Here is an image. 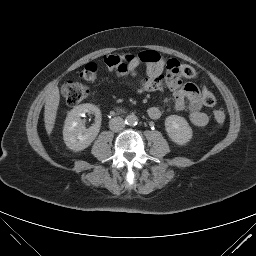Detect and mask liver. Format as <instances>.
<instances>
[{
	"label": "liver",
	"instance_id": "1",
	"mask_svg": "<svg viewBox=\"0 0 256 256\" xmlns=\"http://www.w3.org/2000/svg\"><path fill=\"white\" fill-rule=\"evenodd\" d=\"M59 101H60L59 89L58 87H54L48 94L46 98V103H45L44 122H45V129L48 135L52 133V130L54 128Z\"/></svg>",
	"mask_w": 256,
	"mask_h": 256
}]
</instances>
